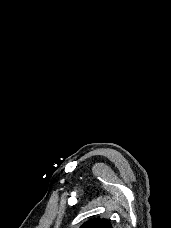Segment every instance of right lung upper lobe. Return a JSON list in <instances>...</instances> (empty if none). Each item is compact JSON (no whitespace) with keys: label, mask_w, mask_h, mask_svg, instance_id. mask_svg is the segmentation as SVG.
Returning <instances> with one entry per match:
<instances>
[{"label":"right lung upper lobe","mask_w":171,"mask_h":228,"mask_svg":"<svg viewBox=\"0 0 171 228\" xmlns=\"http://www.w3.org/2000/svg\"><path fill=\"white\" fill-rule=\"evenodd\" d=\"M80 228H112L107 219H93L84 223Z\"/></svg>","instance_id":"obj_1"}]
</instances>
